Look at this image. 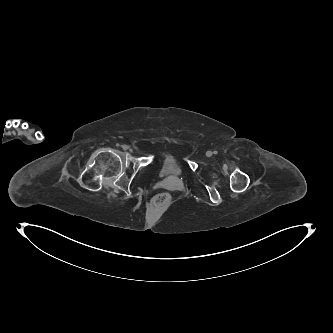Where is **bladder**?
Segmentation results:
<instances>
[{
  "label": "bladder",
  "mask_w": 333,
  "mask_h": 333,
  "mask_svg": "<svg viewBox=\"0 0 333 333\" xmlns=\"http://www.w3.org/2000/svg\"><path fill=\"white\" fill-rule=\"evenodd\" d=\"M159 175L164 180L184 176V169L180 158L174 154L166 155L159 164Z\"/></svg>",
  "instance_id": "1"
}]
</instances>
